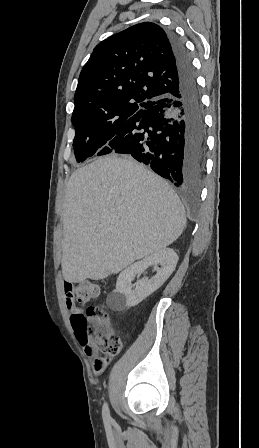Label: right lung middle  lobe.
<instances>
[{
	"label": "right lung middle lobe",
	"instance_id": "right-lung-middle-lobe-1",
	"mask_svg": "<svg viewBox=\"0 0 259 448\" xmlns=\"http://www.w3.org/2000/svg\"><path fill=\"white\" fill-rule=\"evenodd\" d=\"M144 106L134 105L124 109L99 113L72 115L76 134L73 141L77 162H83L93 155L108 154V144L131 121Z\"/></svg>",
	"mask_w": 259,
	"mask_h": 448
}]
</instances>
